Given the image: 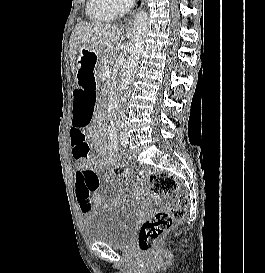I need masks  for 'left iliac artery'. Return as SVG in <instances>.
I'll return each instance as SVG.
<instances>
[{"mask_svg":"<svg viewBox=\"0 0 265 273\" xmlns=\"http://www.w3.org/2000/svg\"><path fill=\"white\" fill-rule=\"evenodd\" d=\"M116 125H117V127L120 128V129H122V128L124 127V123H123L122 121H118V122L116 123Z\"/></svg>","mask_w":265,"mask_h":273,"instance_id":"obj_1","label":"left iliac artery"}]
</instances>
